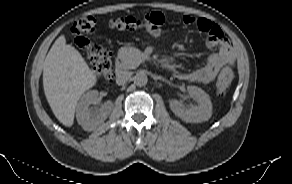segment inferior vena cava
Wrapping results in <instances>:
<instances>
[{"instance_id":"obj_1","label":"inferior vena cava","mask_w":292,"mask_h":184,"mask_svg":"<svg viewBox=\"0 0 292 184\" xmlns=\"http://www.w3.org/2000/svg\"><path fill=\"white\" fill-rule=\"evenodd\" d=\"M132 73L126 70H119L116 73V83L118 85H124L131 77Z\"/></svg>"}]
</instances>
